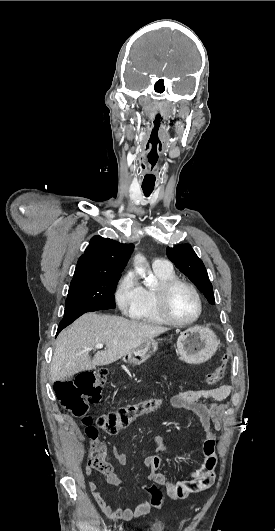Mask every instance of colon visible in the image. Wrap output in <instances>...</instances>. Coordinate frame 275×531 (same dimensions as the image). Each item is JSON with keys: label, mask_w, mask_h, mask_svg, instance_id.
<instances>
[{"label": "colon", "mask_w": 275, "mask_h": 531, "mask_svg": "<svg viewBox=\"0 0 275 531\" xmlns=\"http://www.w3.org/2000/svg\"><path fill=\"white\" fill-rule=\"evenodd\" d=\"M232 357L230 350H225L216 368L208 373L207 383L216 386L224 377L227 364ZM108 379V371L105 368L90 369L81 371L75 380H58L55 382L54 395L61 405L74 416L81 418L85 425V432L92 445L93 467L95 469H107L109 463L103 458L105 449L98 440L97 428L93 425L95 421L89 413V404L97 403L101 399V389ZM156 399L139 401L117 411L103 413L97 416L105 429V434H115L119 429L128 426L136 418L154 412L158 407ZM142 488L148 492H153L154 499H161L162 491L155 489L151 482L144 483ZM162 503L150 506V509L161 510Z\"/></svg>", "instance_id": "colon-1"}]
</instances>
